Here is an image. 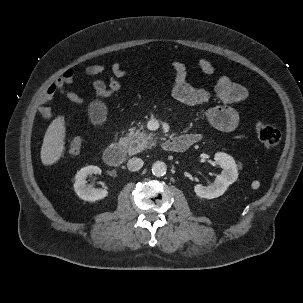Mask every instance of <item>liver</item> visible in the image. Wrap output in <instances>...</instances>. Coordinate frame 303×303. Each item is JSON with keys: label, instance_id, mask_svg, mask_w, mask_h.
I'll list each match as a JSON object with an SVG mask.
<instances>
[{"label": "liver", "instance_id": "obj_1", "mask_svg": "<svg viewBox=\"0 0 303 303\" xmlns=\"http://www.w3.org/2000/svg\"><path fill=\"white\" fill-rule=\"evenodd\" d=\"M65 137V117L59 115L50 123L44 135L41 161L45 166L57 163L64 156Z\"/></svg>", "mask_w": 303, "mask_h": 303}]
</instances>
